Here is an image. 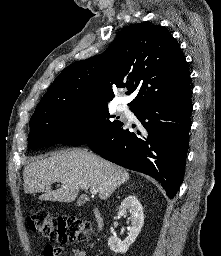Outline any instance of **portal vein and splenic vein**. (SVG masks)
I'll list each match as a JSON object with an SVG mask.
<instances>
[{"label": "portal vein and splenic vein", "instance_id": "obj_1", "mask_svg": "<svg viewBox=\"0 0 221 256\" xmlns=\"http://www.w3.org/2000/svg\"><path fill=\"white\" fill-rule=\"evenodd\" d=\"M90 192H91V194H93V195L97 194V190H96V189H90Z\"/></svg>", "mask_w": 221, "mask_h": 256}]
</instances>
